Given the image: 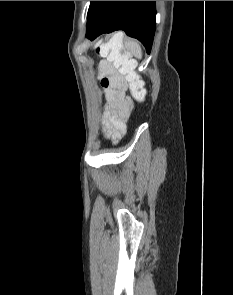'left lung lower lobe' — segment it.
<instances>
[{"label": "left lung lower lobe", "instance_id": "0a47b994", "mask_svg": "<svg viewBox=\"0 0 233 295\" xmlns=\"http://www.w3.org/2000/svg\"><path fill=\"white\" fill-rule=\"evenodd\" d=\"M155 1H95L88 14L86 36L124 30L150 53L155 33Z\"/></svg>", "mask_w": 233, "mask_h": 295}]
</instances>
